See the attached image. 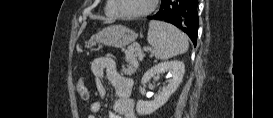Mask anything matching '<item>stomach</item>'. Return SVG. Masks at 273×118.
I'll list each match as a JSON object with an SVG mask.
<instances>
[{
	"mask_svg": "<svg viewBox=\"0 0 273 118\" xmlns=\"http://www.w3.org/2000/svg\"><path fill=\"white\" fill-rule=\"evenodd\" d=\"M137 37L138 34L133 30L122 25H113L104 28L103 30L92 36L90 39V43H101L104 45L121 48L134 42Z\"/></svg>",
	"mask_w": 273,
	"mask_h": 118,
	"instance_id": "stomach-1",
	"label": "stomach"
}]
</instances>
